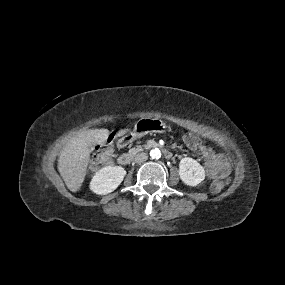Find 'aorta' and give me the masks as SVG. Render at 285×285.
I'll use <instances>...</instances> for the list:
<instances>
[{
    "label": "aorta",
    "instance_id": "762f6f07",
    "mask_svg": "<svg viewBox=\"0 0 285 285\" xmlns=\"http://www.w3.org/2000/svg\"><path fill=\"white\" fill-rule=\"evenodd\" d=\"M150 157L152 159H159L161 157V151L158 148H154L150 151Z\"/></svg>",
    "mask_w": 285,
    "mask_h": 285
}]
</instances>
